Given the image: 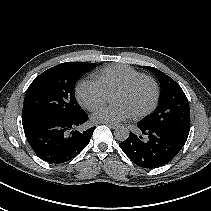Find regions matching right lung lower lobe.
Segmentation results:
<instances>
[{"instance_id": "right-lung-lower-lobe-1", "label": "right lung lower lobe", "mask_w": 211, "mask_h": 211, "mask_svg": "<svg viewBox=\"0 0 211 211\" xmlns=\"http://www.w3.org/2000/svg\"><path fill=\"white\" fill-rule=\"evenodd\" d=\"M88 120L86 112L71 119H53L23 123L28 142L36 155L52 164L67 162L89 143L95 127L75 130Z\"/></svg>"}]
</instances>
